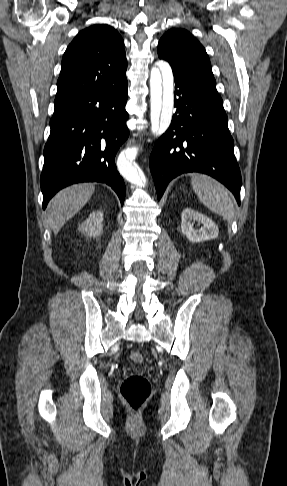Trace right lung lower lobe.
Returning <instances> with one entry per match:
<instances>
[{
    "instance_id": "right-lung-lower-lobe-1",
    "label": "right lung lower lobe",
    "mask_w": 287,
    "mask_h": 486,
    "mask_svg": "<svg viewBox=\"0 0 287 486\" xmlns=\"http://www.w3.org/2000/svg\"><path fill=\"white\" fill-rule=\"evenodd\" d=\"M127 80L55 109L44 148L43 209L60 189L78 182L111 186L123 205L126 188L115 156L129 136Z\"/></svg>"
}]
</instances>
